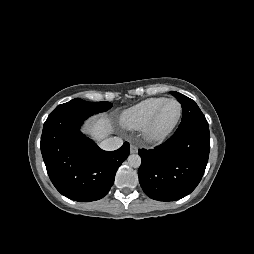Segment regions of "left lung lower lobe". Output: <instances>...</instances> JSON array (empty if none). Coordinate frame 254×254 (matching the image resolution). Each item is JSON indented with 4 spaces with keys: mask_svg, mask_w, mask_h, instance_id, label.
<instances>
[{
    "mask_svg": "<svg viewBox=\"0 0 254 254\" xmlns=\"http://www.w3.org/2000/svg\"><path fill=\"white\" fill-rule=\"evenodd\" d=\"M209 151L208 123L179 126L160 146L139 149L138 176L143 191L158 201H175L190 194L204 174Z\"/></svg>",
    "mask_w": 254,
    "mask_h": 254,
    "instance_id": "1",
    "label": "left lung lower lobe"
}]
</instances>
